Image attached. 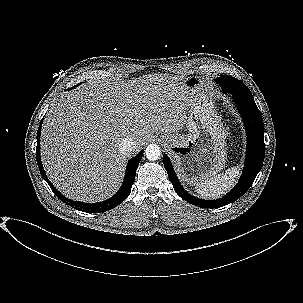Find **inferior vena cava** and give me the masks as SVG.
I'll list each match as a JSON object with an SVG mask.
<instances>
[{
	"mask_svg": "<svg viewBox=\"0 0 303 303\" xmlns=\"http://www.w3.org/2000/svg\"><path fill=\"white\" fill-rule=\"evenodd\" d=\"M136 148V142L133 138L128 137L122 140L119 145V151L123 154H130Z\"/></svg>",
	"mask_w": 303,
	"mask_h": 303,
	"instance_id": "1",
	"label": "inferior vena cava"
}]
</instances>
